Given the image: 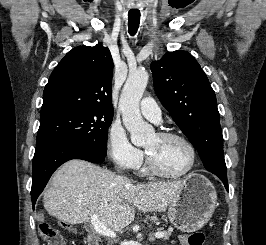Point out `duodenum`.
I'll use <instances>...</instances> for the list:
<instances>
[{
    "label": "duodenum",
    "instance_id": "410a0bca",
    "mask_svg": "<svg viewBox=\"0 0 266 245\" xmlns=\"http://www.w3.org/2000/svg\"><path fill=\"white\" fill-rule=\"evenodd\" d=\"M88 245H100L99 240L97 239V237H95L94 235H92L89 240H88Z\"/></svg>",
    "mask_w": 266,
    "mask_h": 245
}]
</instances>
